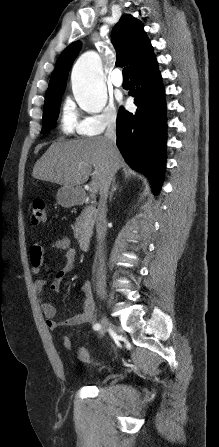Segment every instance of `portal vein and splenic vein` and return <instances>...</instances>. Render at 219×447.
Instances as JSON below:
<instances>
[{
    "mask_svg": "<svg viewBox=\"0 0 219 447\" xmlns=\"http://www.w3.org/2000/svg\"><path fill=\"white\" fill-rule=\"evenodd\" d=\"M90 186H91V187H90V192H91V194L96 193V192H97V185H96V182L92 181V183H91Z\"/></svg>",
    "mask_w": 219,
    "mask_h": 447,
    "instance_id": "portal-vein-and-splenic-vein-1",
    "label": "portal vein and splenic vein"
}]
</instances>
